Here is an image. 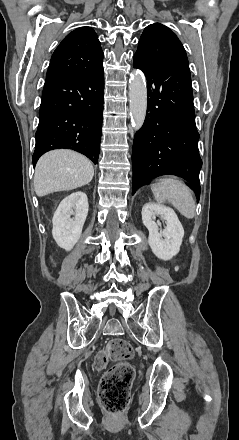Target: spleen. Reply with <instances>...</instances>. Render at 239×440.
Wrapping results in <instances>:
<instances>
[{
  "label": "spleen",
  "mask_w": 239,
  "mask_h": 440,
  "mask_svg": "<svg viewBox=\"0 0 239 440\" xmlns=\"http://www.w3.org/2000/svg\"><path fill=\"white\" fill-rule=\"evenodd\" d=\"M151 190L155 196V200L159 204L171 202L174 208L179 210L182 216L192 220L195 216V202L193 200V192L180 180L174 178H163L158 184H151Z\"/></svg>",
  "instance_id": "1"
}]
</instances>
